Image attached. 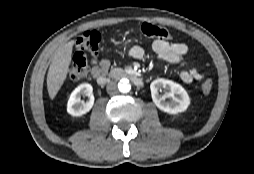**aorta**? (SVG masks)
<instances>
[{
  "mask_svg": "<svg viewBox=\"0 0 254 174\" xmlns=\"http://www.w3.org/2000/svg\"><path fill=\"white\" fill-rule=\"evenodd\" d=\"M118 89L121 93H128L131 90V85L128 79L123 78L118 83Z\"/></svg>",
  "mask_w": 254,
  "mask_h": 174,
  "instance_id": "1",
  "label": "aorta"
}]
</instances>
